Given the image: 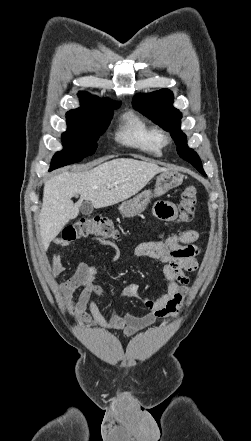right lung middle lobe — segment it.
Masks as SVG:
<instances>
[{"mask_svg":"<svg viewBox=\"0 0 251 441\" xmlns=\"http://www.w3.org/2000/svg\"><path fill=\"white\" fill-rule=\"evenodd\" d=\"M119 106L120 102L87 101L78 112L67 114V131L62 134L64 149L54 155L50 170L92 155L99 136L109 124L113 109Z\"/></svg>","mask_w":251,"mask_h":441,"instance_id":"dd1d6c3e","label":"right lung middle lobe"}]
</instances>
